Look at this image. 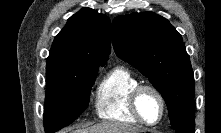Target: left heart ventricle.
<instances>
[{
	"mask_svg": "<svg viewBox=\"0 0 221 133\" xmlns=\"http://www.w3.org/2000/svg\"><path fill=\"white\" fill-rule=\"evenodd\" d=\"M139 107L143 117L148 122H155L161 114L160 103L151 92H144L139 99Z\"/></svg>",
	"mask_w": 221,
	"mask_h": 133,
	"instance_id": "left-heart-ventricle-1",
	"label": "left heart ventricle"
}]
</instances>
